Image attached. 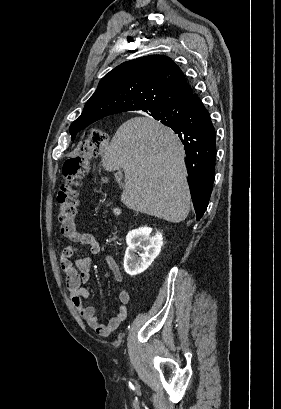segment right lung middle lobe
<instances>
[{
    "instance_id": "right-lung-middle-lobe-1",
    "label": "right lung middle lobe",
    "mask_w": 281,
    "mask_h": 409,
    "mask_svg": "<svg viewBox=\"0 0 281 409\" xmlns=\"http://www.w3.org/2000/svg\"><path fill=\"white\" fill-rule=\"evenodd\" d=\"M156 120H159L162 124L168 126L169 124H171L174 120V118L172 117H162V118H154ZM81 128H71L69 129L70 134L72 136V140L75 138L76 134L78 131H80Z\"/></svg>"
}]
</instances>
